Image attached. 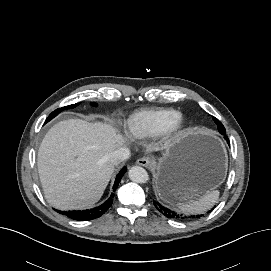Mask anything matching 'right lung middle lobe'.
<instances>
[{"label":"right lung middle lobe","mask_w":271,"mask_h":271,"mask_svg":"<svg viewBox=\"0 0 271 271\" xmlns=\"http://www.w3.org/2000/svg\"><path fill=\"white\" fill-rule=\"evenodd\" d=\"M79 104H80V103H76V104H73V105H69V106H65V107L56 109L54 112H52V113L48 116L46 122H49L51 119H53L54 117H56L61 111L65 110V109H72V108L76 107V106L79 105ZM93 105H95V104L93 103ZM46 122H45V123H46Z\"/></svg>","instance_id":"1"}]
</instances>
